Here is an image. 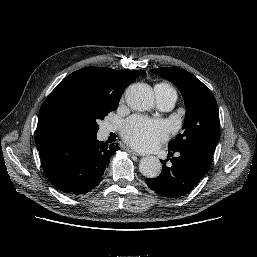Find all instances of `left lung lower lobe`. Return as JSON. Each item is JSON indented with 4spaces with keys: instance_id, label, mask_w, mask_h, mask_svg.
<instances>
[{
    "instance_id": "0a47b994",
    "label": "left lung lower lobe",
    "mask_w": 257,
    "mask_h": 257,
    "mask_svg": "<svg viewBox=\"0 0 257 257\" xmlns=\"http://www.w3.org/2000/svg\"><path fill=\"white\" fill-rule=\"evenodd\" d=\"M169 150L171 163L161 160V174L145 182L161 196L178 198L188 194L204 177L211 166L213 153L198 147ZM174 152L178 156L170 159Z\"/></svg>"
}]
</instances>
